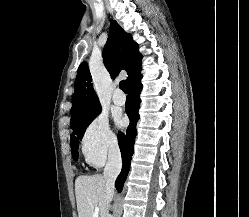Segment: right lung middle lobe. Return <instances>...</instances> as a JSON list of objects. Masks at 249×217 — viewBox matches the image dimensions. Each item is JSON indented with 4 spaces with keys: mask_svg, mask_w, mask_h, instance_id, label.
<instances>
[{
    "mask_svg": "<svg viewBox=\"0 0 249 217\" xmlns=\"http://www.w3.org/2000/svg\"><path fill=\"white\" fill-rule=\"evenodd\" d=\"M100 112L101 106L87 113L80 119L70 123L73 130V134L71 136V150L74 160H78L79 141L82 139L87 126L98 116Z\"/></svg>",
    "mask_w": 249,
    "mask_h": 217,
    "instance_id": "obj_1",
    "label": "right lung middle lobe"
}]
</instances>
